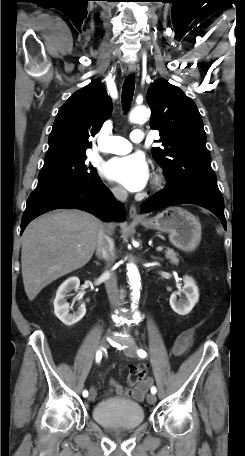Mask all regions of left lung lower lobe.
<instances>
[{"label": "left lung lower lobe", "mask_w": 245, "mask_h": 456, "mask_svg": "<svg viewBox=\"0 0 245 456\" xmlns=\"http://www.w3.org/2000/svg\"><path fill=\"white\" fill-rule=\"evenodd\" d=\"M179 204H196L213 212L226 228L224 216V201L219 190L207 187H180L167 185L166 189L159 191L152 198L141 205V211L151 212L164 207Z\"/></svg>", "instance_id": "1"}]
</instances>
